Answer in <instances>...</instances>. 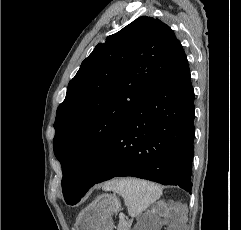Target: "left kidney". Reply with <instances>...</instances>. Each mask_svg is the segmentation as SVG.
Returning <instances> with one entry per match:
<instances>
[{
    "label": "left kidney",
    "instance_id": "5707ae66",
    "mask_svg": "<svg viewBox=\"0 0 241 230\" xmlns=\"http://www.w3.org/2000/svg\"><path fill=\"white\" fill-rule=\"evenodd\" d=\"M154 226L150 224L141 225L137 230H153Z\"/></svg>",
    "mask_w": 241,
    "mask_h": 230
}]
</instances>
